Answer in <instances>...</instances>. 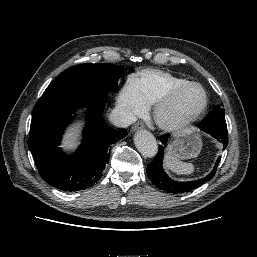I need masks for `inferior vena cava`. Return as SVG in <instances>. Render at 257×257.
Segmentation results:
<instances>
[{
  "label": "inferior vena cava",
  "mask_w": 257,
  "mask_h": 257,
  "mask_svg": "<svg viewBox=\"0 0 257 257\" xmlns=\"http://www.w3.org/2000/svg\"><path fill=\"white\" fill-rule=\"evenodd\" d=\"M109 118L114 125L122 128L128 127L137 120L136 116L131 111L122 106H116Z\"/></svg>",
  "instance_id": "1"
}]
</instances>
